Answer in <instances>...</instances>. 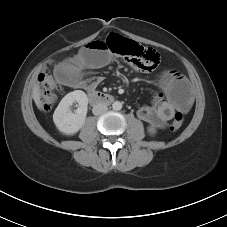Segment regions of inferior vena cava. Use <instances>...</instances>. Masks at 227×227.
I'll list each match as a JSON object with an SVG mask.
<instances>
[{"mask_svg": "<svg viewBox=\"0 0 227 227\" xmlns=\"http://www.w3.org/2000/svg\"><path fill=\"white\" fill-rule=\"evenodd\" d=\"M108 110V107L105 104H97L93 107L92 112L94 115H100Z\"/></svg>", "mask_w": 227, "mask_h": 227, "instance_id": "602c4592", "label": "inferior vena cava"}]
</instances>
